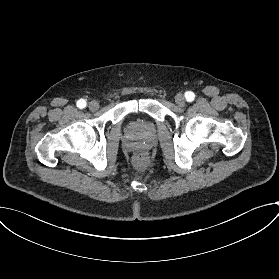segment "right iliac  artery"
I'll list each match as a JSON object with an SVG mask.
<instances>
[{
  "label": "right iliac artery",
  "mask_w": 279,
  "mask_h": 279,
  "mask_svg": "<svg viewBox=\"0 0 279 279\" xmlns=\"http://www.w3.org/2000/svg\"><path fill=\"white\" fill-rule=\"evenodd\" d=\"M77 107L83 109L86 107V101L84 99H80L77 101Z\"/></svg>",
  "instance_id": "right-iliac-artery-1"
}]
</instances>
